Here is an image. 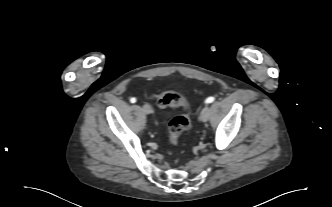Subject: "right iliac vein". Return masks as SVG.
<instances>
[{"label": "right iliac vein", "instance_id": "obj_1", "mask_svg": "<svg viewBox=\"0 0 332 207\" xmlns=\"http://www.w3.org/2000/svg\"><path fill=\"white\" fill-rule=\"evenodd\" d=\"M142 109L145 114H150L152 112V109H151L150 105H148V104L143 105Z\"/></svg>", "mask_w": 332, "mask_h": 207}]
</instances>
